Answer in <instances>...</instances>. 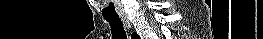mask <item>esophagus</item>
Returning <instances> with one entry per match:
<instances>
[{
    "instance_id": "obj_1",
    "label": "esophagus",
    "mask_w": 263,
    "mask_h": 39,
    "mask_svg": "<svg viewBox=\"0 0 263 39\" xmlns=\"http://www.w3.org/2000/svg\"><path fill=\"white\" fill-rule=\"evenodd\" d=\"M122 22H123L124 26H125L127 29H130V28H131V23L129 22L128 18L123 17V18H122Z\"/></svg>"
}]
</instances>
